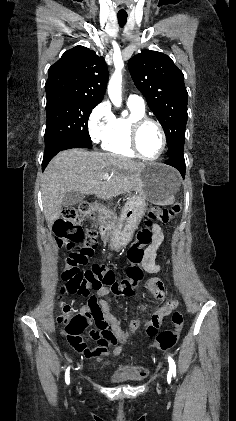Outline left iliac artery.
Masks as SVG:
<instances>
[{
	"label": "left iliac artery",
	"mask_w": 236,
	"mask_h": 421,
	"mask_svg": "<svg viewBox=\"0 0 236 421\" xmlns=\"http://www.w3.org/2000/svg\"><path fill=\"white\" fill-rule=\"evenodd\" d=\"M168 362H169V372L171 375L173 374V376H176V365L174 360L169 356L168 357Z\"/></svg>",
	"instance_id": "1"
}]
</instances>
